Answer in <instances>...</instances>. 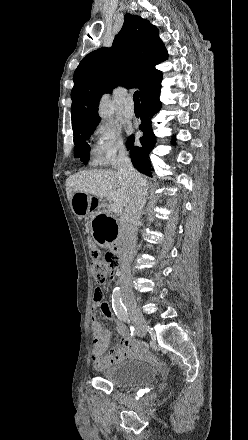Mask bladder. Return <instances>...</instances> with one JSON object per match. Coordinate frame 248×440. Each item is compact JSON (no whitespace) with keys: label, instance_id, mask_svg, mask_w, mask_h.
Returning a JSON list of instances; mask_svg holds the SVG:
<instances>
[{"label":"bladder","instance_id":"31cf9c89","mask_svg":"<svg viewBox=\"0 0 248 440\" xmlns=\"http://www.w3.org/2000/svg\"><path fill=\"white\" fill-rule=\"evenodd\" d=\"M100 378L115 387H136L152 381L154 370L145 362L125 360L102 370Z\"/></svg>","mask_w":248,"mask_h":440}]
</instances>
